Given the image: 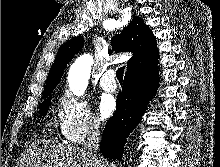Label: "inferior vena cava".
<instances>
[{"instance_id": "1", "label": "inferior vena cava", "mask_w": 220, "mask_h": 167, "mask_svg": "<svg viewBox=\"0 0 220 167\" xmlns=\"http://www.w3.org/2000/svg\"><path fill=\"white\" fill-rule=\"evenodd\" d=\"M100 141H101V136L99 131V124L97 122L91 121L88 125L87 141L84 144V150L96 160H98L96 153Z\"/></svg>"}]
</instances>
